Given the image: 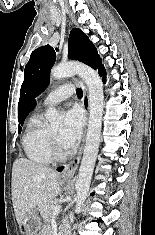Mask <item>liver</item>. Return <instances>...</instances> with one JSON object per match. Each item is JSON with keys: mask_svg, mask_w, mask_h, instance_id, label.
Masks as SVG:
<instances>
[{"mask_svg": "<svg viewBox=\"0 0 155 235\" xmlns=\"http://www.w3.org/2000/svg\"><path fill=\"white\" fill-rule=\"evenodd\" d=\"M58 174L49 167L18 158L12 168V202L16 220L23 223L36 206L42 207L55 199L60 186Z\"/></svg>", "mask_w": 155, "mask_h": 235, "instance_id": "obj_1", "label": "liver"}]
</instances>
